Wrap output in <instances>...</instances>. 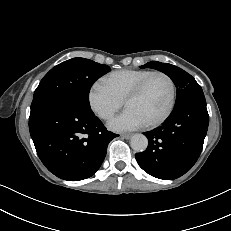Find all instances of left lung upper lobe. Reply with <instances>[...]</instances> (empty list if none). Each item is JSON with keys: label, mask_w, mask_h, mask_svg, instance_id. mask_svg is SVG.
<instances>
[{"label": "left lung upper lobe", "mask_w": 231, "mask_h": 231, "mask_svg": "<svg viewBox=\"0 0 231 231\" xmlns=\"http://www.w3.org/2000/svg\"><path fill=\"white\" fill-rule=\"evenodd\" d=\"M141 68H153L168 75L177 87L176 102H178L188 91L201 89L200 85L190 74L172 64L151 61L141 66Z\"/></svg>", "instance_id": "1"}]
</instances>
